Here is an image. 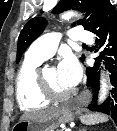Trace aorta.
<instances>
[{"label":"aorta","instance_id":"1","mask_svg":"<svg viewBox=\"0 0 117 131\" xmlns=\"http://www.w3.org/2000/svg\"><path fill=\"white\" fill-rule=\"evenodd\" d=\"M74 16H77V14L73 11H69V12H66L62 15V19L69 20ZM107 88H108V85L106 83V79L102 75V77H101V88H100L99 99H98L99 103H102L106 99L107 90H108Z\"/></svg>","mask_w":117,"mask_h":131}]
</instances>
